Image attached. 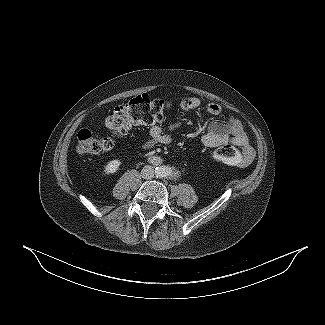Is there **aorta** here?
<instances>
[{
	"mask_svg": "<svg viewBox=\"0 0 325 325\" xmlns=\"http://www.w3.org/2000/svg\"><path fill=\"white\" fill-rule=\"evenodd\" d=\"M171 173H172V170L168 166H159L155 170V174L159 178H166V177L170 176Z\"/></svg>",
	"mask_w": 325,
	"mask_h": 325,
	"instance_id": "aorta-1",
	"label": "aorta"
}]
</instances>
